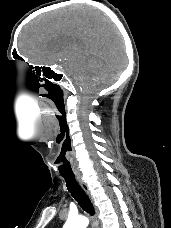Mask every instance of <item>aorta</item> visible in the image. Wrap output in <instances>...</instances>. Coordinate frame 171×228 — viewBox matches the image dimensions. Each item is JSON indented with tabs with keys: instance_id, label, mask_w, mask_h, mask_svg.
Wrapping results in <instances>:
<instances>
[{
	"instance_id": "aorta-1",
	"label": "aorta",
	"mask_w": 171,
	"mask_h": 228,
	"mask_svg": "<svg viewBox=\"0 0 171 228\" xmlns=\"http://www.w3.org/2000/svg\"><path fill=\"white\" fill-rule=\"evenodd\" d=\"M88 223L84 216L69 217L63 228H87Z\"/></svg>"
}]
</instances>
